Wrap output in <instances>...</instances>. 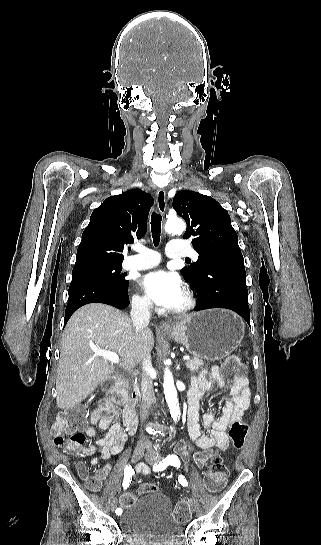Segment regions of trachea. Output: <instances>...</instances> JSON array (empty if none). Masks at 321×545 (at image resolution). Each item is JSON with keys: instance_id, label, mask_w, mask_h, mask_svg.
I'll return each mask as SVG.
<instances>
[{"instance_id": "obj_1", "label": "trachea", "mask_w": 321, "mask_h": 545, "mask_svg": "<svg viewBox=\"0 0 321 545\" xmlns=\"http://www.w3.org/2000/svg\"><path fill=\"white\" fill-rule=\"evenodd\" d=\"M161 221H162V216L160 215V213H156L155 211H153L151 216V232H152V238H153L155 247H157L160 242ZM187 260L189 259H185V261Z\"/></svg>"}]
</instances>
